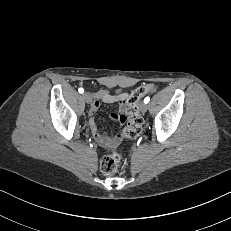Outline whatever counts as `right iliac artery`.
<instances>
[{
    "instance_id": "82829eb1",
    "label": "right iliac artery",
    "mask_w": 231,
    "mask_h": 231,
    "mask_svg": "<svg viewBox=\"0 0 231 231\" xmlns=\"http://www.w3.org/2000/svg\"><path fill=\"white\" fill-rule=\"evenodd\" d=\"M78 91H79V93H83L84 89L83 88H79Z\"/></svg>"
}]
</instances>
